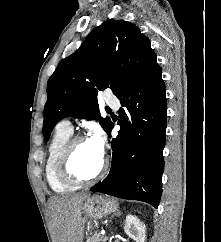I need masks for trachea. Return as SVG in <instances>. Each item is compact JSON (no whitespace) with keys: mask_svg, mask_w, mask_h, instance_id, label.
Wrapping results in <instances>:
<instances>
[{"mask_svg":"<svg viewBox=\"0 0 221 242\" xmlns=\"http://www.w3.org/2000/svg\"><path fill=\"white\" fill-rule=\"evenodd\" d=\"M106 111H107V112H111V109H110V108H106Z\"/></svg>","mask_w":221,"mask_h":242,"instance_id":"obj_1","label":"trachea"}]
</instances>
